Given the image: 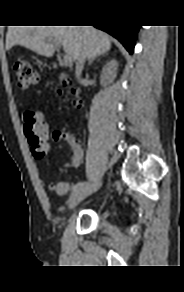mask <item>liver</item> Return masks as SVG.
<instances>
[{
  "label": "liver",
  "mask_w": 184,
  "mask_h": 292,
  "mask_svg": "<svg viewBox=\"0 0 184 292\" xmlns=\"http://www.w3.org/2000/svg\"><path fill=\"white\" fill-rule=\"evenodd\" d=\"M58 42L71 61L93 59L111 48L109 36L93 26H12L8 28L6 49L24 46L37 54L51 57Z\"/></svg>",
  "instance_id": "1"
}]
</instances>
